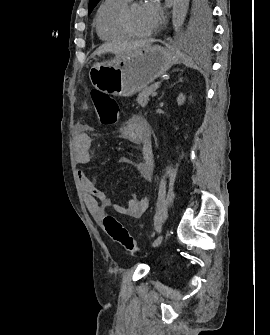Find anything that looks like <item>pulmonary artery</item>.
<instances>
[{
	"label": "pulmonary artery",
	"mask_w": 270,
	"mask_h": 335,
	"mask_svg": "<svg viewBox=\"0 0 270 335\" xmlns=\"http://www.w3.org/2000/svg\"><path fill=\"white\" fill-rule=\"evenodd\" d=\"M123 2H126V3H132L133 2V0H122Z\"/></svg>",
	"instance_id": "obj_1"
}]
</instances>
